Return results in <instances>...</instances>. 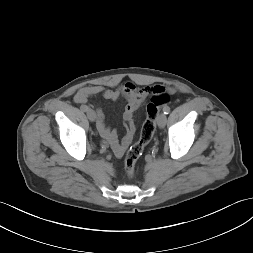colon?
Returning <instances> with one entry per match:
<instances>
[{
  "label": "colon",
  "instance_id": "colon-1",
  "mask_svg": "<svg viewBox=\"0 0 253 253\" xmlns=\"http://www.w3.org/2000/svg\"><path fill=\"white\" fill-rule=\"evenodd\" d=\"M170 90L163 86H155L152 98L146 108V119L142 125L139 140L130 147L124 158V168L128 177L135 174L137 160L145 146L151 141L155 132V122L160 109L169 101Z\"/></svg>",
  "mask_w": 253,
  "mask_h": 253
}]
</instances>
